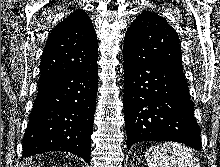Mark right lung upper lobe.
I'll list each match as a JSON object with an SVG mask.
<instances>
[{
	"mask_svg": "<svg viewBox=\"0 0 220 167\" xmlns=\"http://www.w3.org/2000/svg\"><path fill=\"white\" fill-rule=\"evenodd\" d=\"M94 26L87 13L76 10L50 33L40 64V83L97 65Z\"/></svg>",
	"mask_w": 220,
	"mask_h": 167,
	"instance_id": "1",
	"label": "right lung upper lobe"
}]
</instances>
